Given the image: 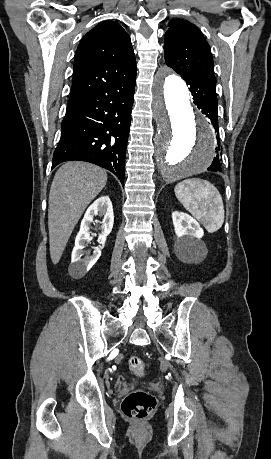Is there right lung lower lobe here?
Wrapping results in <instances>:
<instances>
[{
  "label": "right lung lower lobe",
  "mask_w": 271,
  "mask_h": 459,
  "mask_svg": "<svg viewBox=\"0 0 271 459\" xmlns=\"http://www.w3.org/2000/svg\"><path fill=\"white\" fill-rule=\"evenodd\" d=\"M135 83L136 74L119 79L67 108L52 169L65 161H87L111 171L124 184Z\"/></svg>",
  "instance_id": "obj_1"
}]
</instances>
